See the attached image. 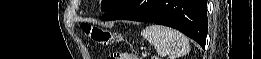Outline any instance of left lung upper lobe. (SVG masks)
I'll return each mask as SVG.
<instances>
[{
  "mask_svg": "<svg viewBox=\"0 0 261 59\" xmlns=\"http://www.w3.org/2000/svg\"><path fill=\"white\" fill-rule=\"evenodd\" d=\"M122 1L123 0H103L101 9L104 12H108Z\"/></svg>",
  "mask_w": 261,
  "mask_h": 59,
  "instance_id": "left-lung-upper-lobe-1",
  "label": "left lung upper lobe"
}]
</instances>
